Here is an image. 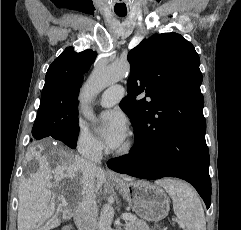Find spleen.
I'll return each instance as SVG.
<instances>
[{"instance_id":"spleen-1","label":"spleen","mask_w":241,"mask_h":230,"mask_svg":"<svg viewBox=\"0 0 241 230\" xmlns=\"http://www.w3.org/2000/svg\"><path fill=\"white\" fill-rule=\"evenodd\" d=\"M173 201V210L186 230H206L204 210L196 191L187 183L164 179L157 182Z\"/></svg>"}]
</instances>
